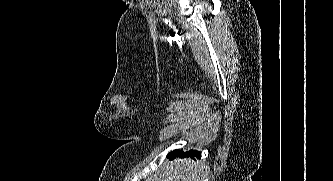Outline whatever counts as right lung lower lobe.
<instances>
[{"instance_id":"1","label":"right lung lower lobe","mask_w":333,"mask_h":181,"mask_svg":"<svg viewBox=\"0 0 333 181\" xmlns=\"http://www.w3.org/2000/svg\"><path fill=\"white\" fill-rule=\"evenodd\" d=\"M201 153L197 151H189V152H180L179 150H174L168 154L169 158H176V157H198L200 158Z\"/></svg>"}]
</instances>
